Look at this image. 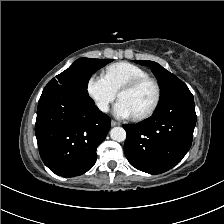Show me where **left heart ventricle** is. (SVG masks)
Masks as SVG:
<instances>
[{
    "instance_id": "b2bd125f",
    "label": "left heart ventricle",
    "mask_w": 224,
    "mask_h": 224,
    "mask_svg": "<svg viewBox=\"0 0 224 224\" xmlns=\"http://www.w3.org/2000/svg\"><path fill=\"white\" fill-rule=\"evenodd\" d=\"M154 87L150 83H143L139 87L131 91L122 92L119 96L135 115L146 110L154 98Z\"/></svg>"
}]
</instances>
